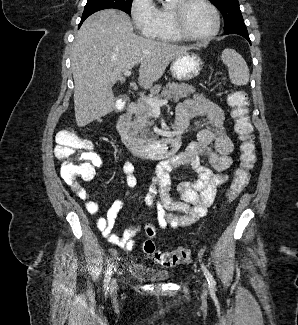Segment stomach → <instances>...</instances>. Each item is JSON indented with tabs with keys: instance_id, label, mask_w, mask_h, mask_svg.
<instances>
[{
	"instance_id": "1",
	"label": "stomach",
	"mask_w": 298,
	"mask_h": 325,
	"mask_svg": "<svg viewBox=\"0 0 298 325\" xmlns=\"http://www.w3.org/2000/svg\"><path fill=\"white\" fill-rule=\"evenodd\" d=\"M203 66L204 60L199 52L187 50L185 54L173 58L169 70L175 80H190L200 74Z\"/></svg>"
}]
</instances>
